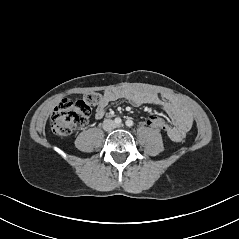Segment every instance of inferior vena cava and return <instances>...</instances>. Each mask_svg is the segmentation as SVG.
I'll list each match as a JSON object with an SVG mask.
<instances>
[{
	"mask_svg": "<svg viewBox=\"0 0 239 239\" xmlns=\"http://www.w3.org/2000/svg\"><path fill=\"white\" fill-rule=\"evenodd\" d=\"M116 128V124H115V122L113 121V120H111V119H105L104 121H103V129L105 130V131H111V130H113V129H115Z\"/></svg>",
	"mask_w": 239,
	"mask_h": 239,
	"instance_id": "1",
	"label": "inferior vena cava"
}]
</instances>
